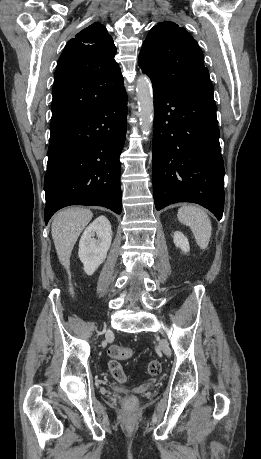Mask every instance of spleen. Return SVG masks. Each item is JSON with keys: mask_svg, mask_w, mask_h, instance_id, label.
Instances as JSON below:
<instances>
[{"mask_svg": "<svg viewBox=\"0 0 261 459\" xmlns=\"http://www.w3.org/2000/svg\"><path fill=\"white\" fill-rule=\"evenodd\" d=\"M177 218L191 228L197 245L201 249H206L212 232L211 221L206 211L199 206L185 205L179 208Z\"/></svg>", "mask_w": 261, "mask_h": 459, "instance_id": "1", "label": "spleen"}]
</instances>
